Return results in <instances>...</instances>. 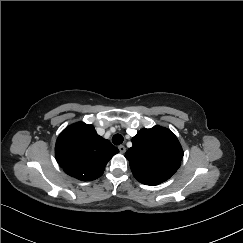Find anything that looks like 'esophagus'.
<instances>
[{"instance_id":"1","label":"esophagus","mask_w":243,"mask_h":243,"mask_svg":"<svg viewBox=\"0 0 243 243\" xmlns=\"http://www.w3.org/2000/svg\"><path fill=\"white\" fill-rule=\"evenodd\" d=\"M118 149H119L120 153H122V154L126 152V148L124 145L118 146Z\"/></svg>"}]
</instances>
